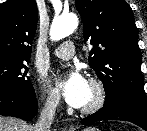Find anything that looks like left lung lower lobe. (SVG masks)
I'll use <instances>...</instances> for the list:
<instances>
[{
    "mask_svg": "<svg viewBox=\"0 0 147 131\" xmlns=\"http://www.w3.org/2000/svg\"><path fill=\"white\" fill-rule=\"evenodd\" d=\"M102 120H123L132 122L147 131V102L125 100L104 105L96 113L81 120L83 125Z\"/></svg>",
    "mask_w": 147,
    "mask_h": 131,
    "instance_id": "1",
    "label": "left lung lower lobe"
}]
</instances>
